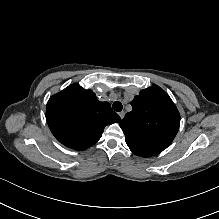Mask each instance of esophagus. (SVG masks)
Masks as SVG:
<instances>
[{"label": "esophagus", "instance_id": "esophagus-1", "mask_svg": "<svg viewBox=\"0 0 219 219\" xmlns=\"http://www.w3.org/2000/svg\"><path fill=\"white\" fill-rule=\"evenodd\" d=\"M124 115H125L124 112H120V113H119V116H120L121 119H123Z\"/></svg>", "mask_w": 219, "mask_h": 219}]
</instances>
